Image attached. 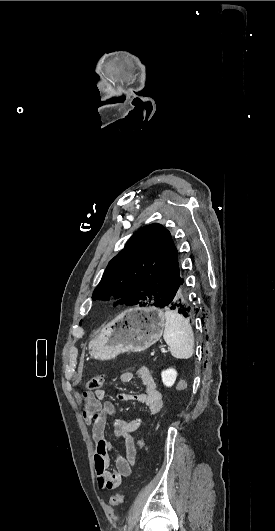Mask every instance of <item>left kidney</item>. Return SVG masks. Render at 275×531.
<instances>
[{"label":"left kidney","instance_id":"obj_1","mask_svg":"<svg viewBox=\"0 0 275 531\" xmlns=\"http://www.w3.org/2000/svg\"><path fill=\"white\" fill-rule=\"evenodd\" d=\"M161 377L165 387H172L177 379V371L175 369H166V371H162Z\"/></svg>","mask_w":275,"mask_h":531}]
</instances>
